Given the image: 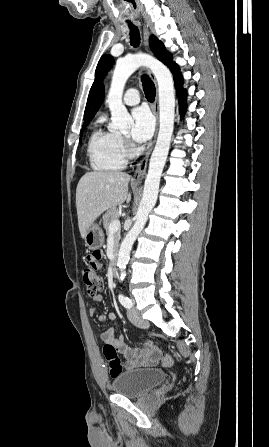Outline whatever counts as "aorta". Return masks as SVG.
<instances>
[{
    "label": "aorta",
    "instance_id": "762f6f07",
    "mask_svg": "<svg viewBox=\"0 0 269 447\" xmlns=\"http://www.w3.org/2000/svg\"><path fill=\"white\" fill-rule=\"evenodd\" d=\"M145 66L150 68L158 82L159 92V132L156 146L150 158L149 170L146 176L143 198L136 214V222L125 235L119 249L117 265L120 269V279L125 277V267L128 263L132 245L142 231L148 216L157 202L159 184L163 168L166 164L172 134L174 132L175 94L173 78L170 70L148 54H134L117 60L112 76L106 104L111 112L110 130L129 132L133 120L123 106L122 96L124 86L133 72Z\"/></svg>",
    "mask_w": 269,
    "mask_h": 447
}]
</instances>
